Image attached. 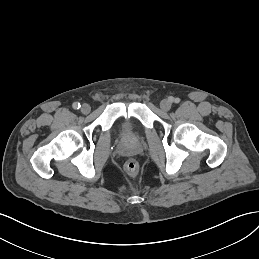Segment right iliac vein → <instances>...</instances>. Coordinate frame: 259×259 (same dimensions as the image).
I'll return each mask as SVG.
<instances>
[{
    "label": "right iliac vein",
    "mask_w": 259,
    "mask_h": 259,
    "mask_svg": "<svg viewBox=\"0 0 259 259\" xmlns=\"http://www.w3.org/2000/svg\"><path fill=\"white\" fill-rule=\"evenodd\" d=\"M91 111V107H90V105L89 104H83L82 106H81V112L83 113V114H88L89 112Z\"/></svg>",
    "instance_id": "1"
}]
</instances>
